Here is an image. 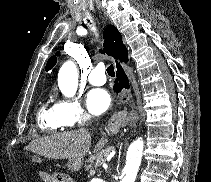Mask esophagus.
Wrapping results in <instances>:
<instances>
[{
  "label": "esophagus",
  "mask_w": 211,
  "mask_h": 182,
  "mask_svg": "<svg viewBox=\"0 0 211 182\" xmlns=\"http://www.w3.org/2000/svg\"><path fill=\"white\" fill-rule=\"evenodd\" d=\"M130 92L126 89H123L122 92L119 95V99L122 103H125L129 100L130 98ZM138 120V116H135L134 121L137 122ZM109 124H111V122H109Z\"/></svg>",
  "instance_id": "esophagus-1"
}]
</instances>
